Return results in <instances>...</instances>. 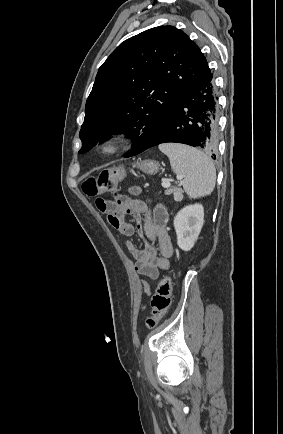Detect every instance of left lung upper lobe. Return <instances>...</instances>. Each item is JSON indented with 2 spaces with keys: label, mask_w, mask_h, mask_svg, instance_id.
<instances>
[{
  "label": "left lung upper lobe",
  "mask_w": 283,
  "mask_h": 434,
  "mask_svg": "<svg viewBox=\"0 0 283 434\" xmlns=\"http://www.w3.org/2000/svg\"><path fill=\"white\" fill-rule=\"evenodd\" d=\"M210 71L200 48L173 26L122 42L99 68L80 130L85 153L106 134L132 138L130 157L148 147L180 95Z\"/></svg>",
  "instance_id": "left-lung-upper-lobe-1"
}]
</instances>
